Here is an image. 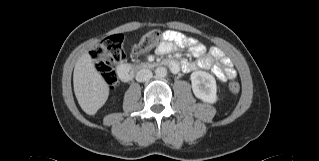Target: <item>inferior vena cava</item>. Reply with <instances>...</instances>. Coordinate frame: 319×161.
<instances>
[{"label":"inferior vena cava","mask_w":319,"mask_h":161,"mask_svg":"<svg viewBox=\"0 0 319 161\" xmlns=\"http://www.w3.org/2000/svg\"><path fill=\"white\" fill-rule=\"evenodd\" d=\"M152 77V72L149 69H141L136 74V80L138 82H145Z\"/></svg>","instance_id":"inferior-vena-cava-1"}]
</instances>
